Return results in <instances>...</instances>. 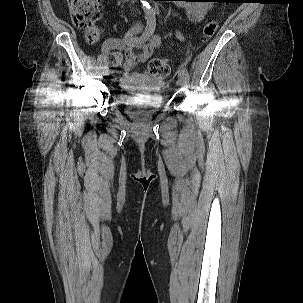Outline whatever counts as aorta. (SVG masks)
I'll list each match as a JSON object with an SVG mask.
<instances>
[{"label":"aorta","mask_w":303,"mask_h":303,"mask_svg":"<svg viewBox=\"0 0 303 303\" xmlns=\"http://www.w3.org/2000/svg\"><path fill=\"white\" fill-rule=\"evenodd\" d=\"M141 1H142L143 5H145V6L148 5V3L146 1H143V0H141Z\"/></svg>","instance_id":"aorta-1"}]
</instances>
